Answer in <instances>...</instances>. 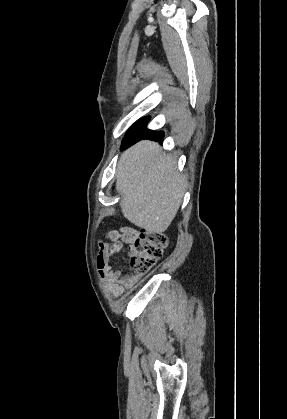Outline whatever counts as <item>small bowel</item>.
Instances as JSON below:
<instances>
[{
	"instance_id": "obj_1",
	"label": "small bowel",
	"mask_w": 287,
	"mask_h": 419,
	"mask_svg": "<svg viewBox=\"0 0 287 419\" xmlns=\"http://www.w3.org/2000/svg\"><path fill=\"white\" fill-rule=\"evenodd\" d=\"M136 235L132 228L123 227L120 230H111L107 233V239L110 242H100L97 256V267L101 277L105 278L109 289L116 295L123 294L127 288L131 287L137 281V275L133 272L112 269L110 264L114 261L116 255L122 250L123 244H130ZM129 254L132 252L129 247Z\"/></svg>"
}]
</instances>
